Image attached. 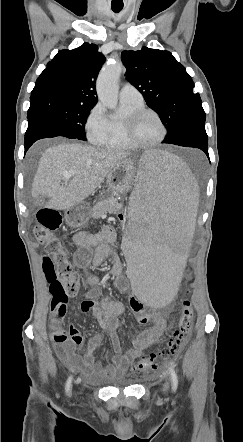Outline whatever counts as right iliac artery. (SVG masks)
<instances>
[{"mask_svg":"<svg viewBox=\"0 0 243 442\" xmlns=\"http://www.w3.org/2000/svg\"><path fill=\"white\" fill-rule=\"evenodd\" d=\"M72 382V377H69L66 383V392L68 393L70 391V386Z\"/></svg>","mask_w":243,"mask_h":442,"instance_id":"right-iliac-artery-1","label":"right iliac artery"}]
</instances>
